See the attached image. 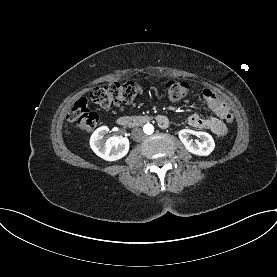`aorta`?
I'll return each instance as SVG.
<instances>
[{"mask_svg":"<svg viewBox=\"0 0 277 277\" xmlns=\"http://www.w3.org/2000/svg\"><path fill=\"white\" fill-rule=\"evenodd\" d=\"M143 131L147 135H151L154 132V126L152 124H146L143 127Z\"/></svg>","mask_w":277,"mask_h":277,"instance_id":"1","label":"aorta"}]
</instances>
